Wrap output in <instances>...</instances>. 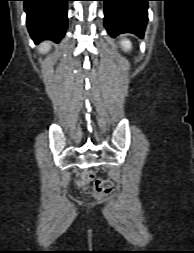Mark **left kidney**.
I'll list each match as a JSON object with an SVG mask.
<instances>
[{
    "instance_id": "obj_1",
    "label": "left kidney",
    "mask_w": 194,
    "mask_h": 253,
    "mask_svg": "<svg viewBox=\"0 0 194 253\" xmlns=\"http://www.w3.org/2000/svg\"><path fill=\"white\" fill-rule=\"evenodd\" d=\"M121 45H122V47H123V49H124L125 51H128V50L131 49V43H130V41L127 40V39H124V40L121 42Z\"/></svg>"
}]
</instances>
